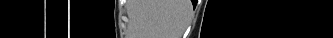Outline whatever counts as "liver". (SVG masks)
Returning <instances> with one entry per match:
<instances>
[{"label": "liver", "mask_w": 333, "mask_h": 38, "mask_svg": "<svg viewBox=\"0 0 333 38\" xmlns=\"http://www.w3.org/2000/svg\"><path fill=\"white\" fill-rule=\"evenodd\" d=\"M192 16L190 0H137V38H180Z\"/></svg>", "instance_id": "1"}]
</instances>
